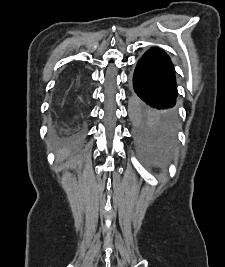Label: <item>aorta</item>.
Wrapping results in <instances>:
<instances>
[{
  "instance_id": "1",
  "label": "aorta",
  "mask_w": 225,
  "mask_h": 267,
  "mask_svg": "<svg viewBox=\"0 0 225 267\" xmlns=\"http://www.w3.org/2000/svg\"><path fill=\"white\" fill-rule=\"evenodd\" d=\"M140 102L137 97H131L128 101V113L129 119L133 125L138 123V112H139Z\"/></svg>"
}]
</instances>
